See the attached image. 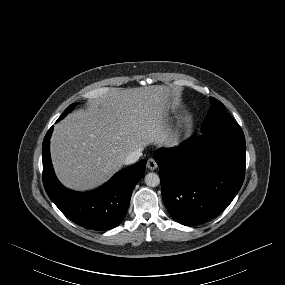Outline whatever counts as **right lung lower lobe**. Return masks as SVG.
Returning <instances> with one entry per match:
<instances>
[{
  "instance_id": "1",
  "label": "right lung lower lobe",
  "mask_w": 285,
  "mask_h": 285,
  "mask_svg": "<svg viewBox=\"0 0 285 285\" xmlns=\"http://www.w3.org/2000/svg\"><path fill=\"white\" fill-rule=\"evenodd\" d=\"M52 131L53 126L42 145L43 185L49 198L68 219L85 228L101 231L118 226L125 217L135 185L144 176L146 161L141 160L119 171L92 192H75L65 188L53 171L50 157Z\"/></svg>"
}]
</instances>
